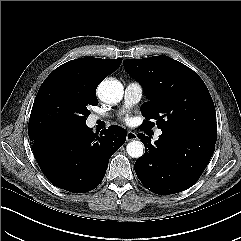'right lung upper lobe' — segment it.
I'll list each match as a JSON object with an SVG mask.
<instances>
[{"mask_svg":"<svg viewBox=\"0 0 241 241\" xmlns=\"http://www.w3.org/2000/svg\"><path fill=\"white\" fill-rule=\"evenodd\" d=\"M122 59L80 58L71 60L56 68L43 82L65 80L77 87L86 97L96 99L98 84L114 72Z\"/></svg>","mask_w":241,"mask_h":241,"instance_id":"obj_1","label":"right lung upper lobe"}]
</instances>
